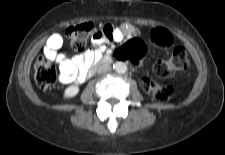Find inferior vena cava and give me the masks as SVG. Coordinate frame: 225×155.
Masks as SVG:
<instances>
[{
    "label": "inferior vena cava",
    "mask_w": 225,
    "mask_h": 155,
    "mask_svg": "<svg viewBox=\"0 0 225 155\" xmlns=\"http://www.w3.org/2000/svg\"><path fill=\"white\" fill-rule=\"evenodd\" d=\"M111 70V67L107 64H103L98 68V73H105Z\"/></svg>",
    "instance_id": "inferior-vena-cava-1"
}]
</instances>
